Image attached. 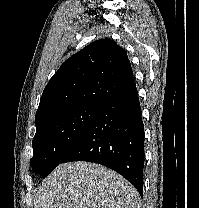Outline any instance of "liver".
Masks as SVG:
<instances>
[{
	"label": "liver",
	"instance_id": "obj_1",
	"mask_svg": "<svg viewBox=\"0 0 199 208\" xmlns=\"http://www.w3.org/2000/svg\"><path fill=\"white\" fill-rule=\"evenodd\" d=\"M34 208H140L135 187L97 163L57 166L34 195Z\"/></svg>",
	"mask_w": 199,
	"mask_h": 208
}]
</instances>
